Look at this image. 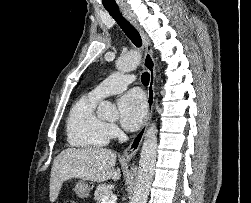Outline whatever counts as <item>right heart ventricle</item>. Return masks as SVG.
I'll return each instance as SVG.
<instances>
[{
  "label": "right heart ventricle",
  "instance_id": "obj_1",
  "mask_svg": "<svg viewBox=\"0 0 251 203\" xmlns=\"http://www.w3.org/2000/svg\"><path fill=\"white\" fill-rule=\"evenodd\" d=\"M99 100L89 93L72 107L67 121V136L72 146L94 149L107 145L110 137L107 124L95 112Z\"/></svg>",
  "mask_w": 251,
  "mask_h": 203
}]
</instances>
